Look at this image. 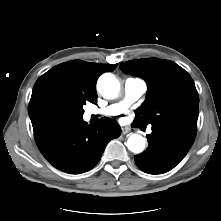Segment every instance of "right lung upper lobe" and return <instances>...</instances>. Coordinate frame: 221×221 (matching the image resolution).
Masks as SVG:
<instances>
[{
	"label": "right lung upper lobe",
	"mask_w": 221,
	"mask_h": 221,
	"mask_svg": "<svg viewBox=\"0 0 221 221\" xmlns=\"http://www.w3.org/2000/svg\"><path fill=\"white\" fill-rule=\"evenodd\" d=\"M117 65L73 60L61 63L39 77L28 106L34 132L62 119L65 111L80 100L96 103L98 77Z\"/></svg>",
	"instance_id": "obj_1"
}]
</instances>
